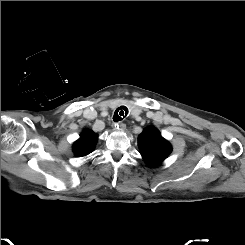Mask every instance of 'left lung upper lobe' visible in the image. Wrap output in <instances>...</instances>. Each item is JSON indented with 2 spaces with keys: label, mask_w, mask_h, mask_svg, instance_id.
I'll return each instance as SVG.
<instances>
[{
  "label": "left lung upper lobe",
  "mask_w": 245,
  "mask_h": 245,
  "mask_svg": "<svg viewBox=\"0 0 245 245\" xmlns=\"http://www.w3.org/2000/svg\"><path fill=\"white\" fill-rule=\"evenodd\" d=\"M140 153L148 166L161 164L171 153L172 145L155 127L146 128L138 137Z\"/></svg>",
  "instance_id": "obj_1"
}]
</instances>
